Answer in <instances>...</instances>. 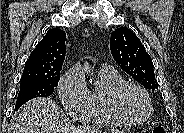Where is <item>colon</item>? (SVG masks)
<instances>
[{
	"label": "colon",
	"mask_w": 184,
	"mask_h": 133,
	"mask_svg": "<svg viewBox=\"0 0 184 133\" xmlns=\"http://www.w3.org/2000/svg\"><path fill=\"white\" fill-rule=\"evenodd\" d=\"M164 132H165L164 128L160 127V126H158L154 129V133H164Z\"/></svg>",
	"instance_id": "obj_1"
}]
</instances>
